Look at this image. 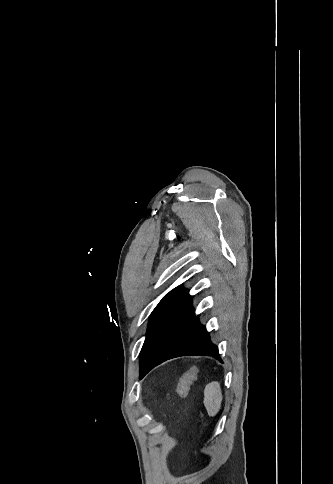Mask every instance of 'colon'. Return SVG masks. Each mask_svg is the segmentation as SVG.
<instances>
[{
	"label": "colon",
	"mask_w": 333,
	"mask_h": 484,
	"mask_svg": "<svg viewBox=\"0 0 333 484\" xmlns=\"http://www.w3.org/2000/svg\"><path fill=\"white\" fill-rule=\"evenodd\" d=\"M198 369L196 367L190 368L186 371L179 380L177 387V394L180 398H186L192 383L196 380ZM201 422V415H199V423Z\"/></svg>",
	"instance_id": "1"
}]
</instances>
